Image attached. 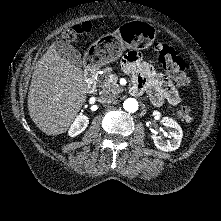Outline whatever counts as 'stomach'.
<instances>
[{
    "mask_svg": "<svg viewBox=\"0 0 221 221\" xmlns=\"http://www.w3.org/2000/svg\"><path fill=\"white\" fill-rule=\"evenodd\" d=\"M156 36L153 25L145 20L130 22L118 27L112 37L101 36L92 44L85 58L98 66L106 65L117 60L123 53L124 48L132 46L136 49H147Z\"/></svg>",
    "mask_w": 221,
    "mask_h": 221,
    "instance_id": "0dacf381",
    "label": "stomach"
}]
</instances>
